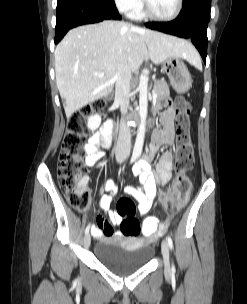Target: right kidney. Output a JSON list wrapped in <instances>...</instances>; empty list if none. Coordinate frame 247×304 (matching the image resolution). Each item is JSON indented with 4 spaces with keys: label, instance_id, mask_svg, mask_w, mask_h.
I'll use <instances>...</instances> for the list:
<instances>
[{
    "label": "right kidney",
    "instance_id": "1",
    "mask_svg": "<svg viewBox=\"0 0 247 304\" xmlns=\"http://www.w3.org/2000/svg\"><path fill=\"white\" fill-rule=\"evenodd\" d=\"M101 124V117L98 115H94L88 118L87 127L91 131H95Z\"/></svg>",
    "mask_w": 247,
    "mask_h": 304
}]
</instances>
